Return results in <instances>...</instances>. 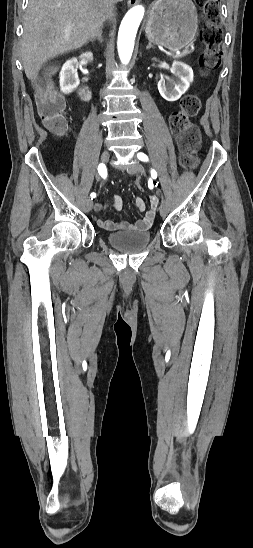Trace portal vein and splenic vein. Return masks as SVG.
I'll list each match as a JSON object with an SVG mask.
<instances>
[{
	"mask_svg": "<svg viewBox=\"0 0 253 548\" xmlns=\"http://www.w3.org/2000/svg\"><path fill=\"white\" fill-rule=\"evenodd\" d=\"M175 55H180V52H176Z\"/></svg>",
	"mask_w": 253,
	"mask_h": 548,
	"instance_id": "obj_1",
	"label": "portal vein and splenic vein"
}]
</instances>
